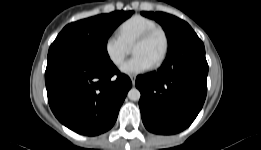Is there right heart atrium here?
<instances>
[{
	"label": "right heart atrium",
	"mask_w": 261,
	"mask_h": 150,
	"mask_svg": "<svg viewBox=\"0 0 261 150\" xmlns=\"http://www.w3.org/2000/svg\"><path fill=\"white\" fill-rule=\"evenodd\" d=\"M104 51L113 65L120 66L129 54L130 47L118 35L112 34L105 40Z\"/></svg>",
	"instance_id": "1"
}]
</instances>
